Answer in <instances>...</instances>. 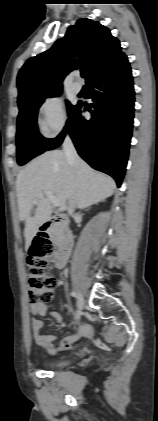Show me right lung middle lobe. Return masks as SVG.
Returning a JSON list of instances; mask_svg holds the SVG:
<instances>
[{
  "instance_id": "1",
  "label": "right lung middle lobe",
  "mask_w": 158,
  "mask_h": 421,
  "mask_svg": "<svg viewBox=\"0 0 158 421\" xmlns=\"http://www.w3.org/2000/svg\"><path fill=\"white\" fill-rule=\"evenodd\" d=\"M61 91H55L37 96L19 105V115L17 120V162L24 165L32 158L45 152L52 139L43 138L37 128L38 109L47 97L58 96ZM76 106V105H75ZM74 105L67 103L68 115L75 108Z\"/></svg>"
}]
</instances>
